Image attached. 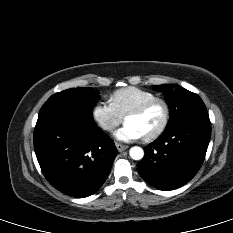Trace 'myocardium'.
I'll list each match as a JSON object with an SVG mask.
<instances>
[{
	"label": "myocardium",
	"instance_id": "obj_1",
	"mask_svg": "<svg viewBox=\"0 0 233 233\" xmlns=\"http://www.w3.org/2000/svg\"><path fill=\"white\" fill-rule=\"evenodd\" d=\"M156 103H160L163 106V109H164L163 121L161 125L158 127V129H156L153 133L143 137L145 141H153L157 139L167 129L169 121H170V106L168 102L164 98H161V97L151 98L143 102L139 106L135 107L134 109L130 110L124 117V120L126 121L128 117L139 116Z\"/></svg>",
	"mask_w": 233,
	"mask_h": 233
}]
</instances>
